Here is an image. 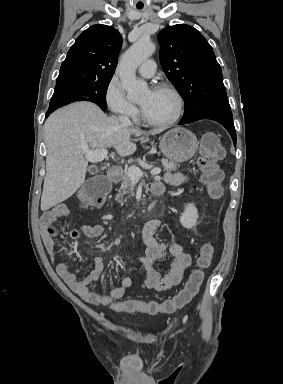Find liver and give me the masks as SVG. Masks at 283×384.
<instances>
[{
  "label": "liver",
  "mask_w": 283,
  "mask_h": 384,
  "mask_svg": "<svg viewBox=\"0 0 283 384\" xmlns=\"http://www.w3.org/2000/svg\"><path fill=\"white\" fill-rule=\"evenodd\" d=\"M160 132L162 130L141 132L123 126L117 118H107L92 102H75L53 112L44 124L48 150L42 212L67 200L84 184L88 168L86 150L115 148L119 156H131L136 152L131 136H154Z\"/></svg>",
  "instance_id": "obj_1"
}]
</instances>
